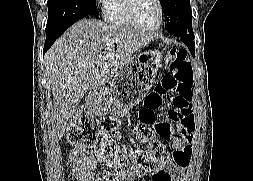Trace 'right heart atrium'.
<instances>
[{
	"mask_svg": "<svg viewBox=\"0 0 253 181\" xmlns=\"http://www.w3.org/2000/svg\"><path fill=\"white\" fill-rule=\"evenodd\" d=\"M99 2H102L103 0H98Z\"/></svg>",
	"mask_w": 253,
	"mask_h": 181,
	"instance_id": "right-heart-atrium-1",
	"label": "right heart atrium"
}]
</instances>
